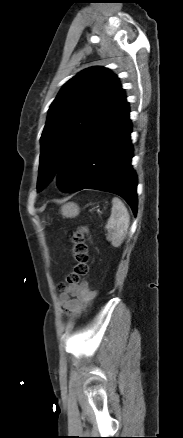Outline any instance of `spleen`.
Segmentation results:
<instances>
[{
	"label": "spleen",
	"mask_w": 183,
	"mask_h": 438,
	"mask_svg": "<svg viewBox=\"0 0 183 438\" xmlns=\"http://www.w3.org/2000/svg\"><path fill=\"white\" fill-rule=\"evenodd\" d=\"M130 216L126 206L119 198L112 199L110 218L107 221V240L112 246L119 247L128 233Z\"/></svg>",
	"instance_id": "obj_1"
}]
</instances>
